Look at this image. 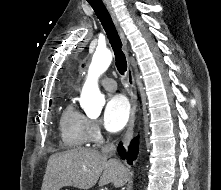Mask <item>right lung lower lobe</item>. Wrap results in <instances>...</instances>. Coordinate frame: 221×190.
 <instances>
[{"label":"right lung lower lobe","instance_id":"98d812e1","mask_svg":"<svg viewBox=\"0 0 221 190\" xmlns=\"http://www.w3.org/2000/svg\"><path fill=\"white\" fill-rule=\"evenodd\" d=\"M118 153L119 155L125 159L127 157V161L128 163H132L133 160L136 159L137 157V153H138V138H135L130 146H129V150L128 152L126 153L125 152V149L122 147V144H119L118 146Z\"/></svg>","mask_w":221,"mask_h":190}]
</instances>
